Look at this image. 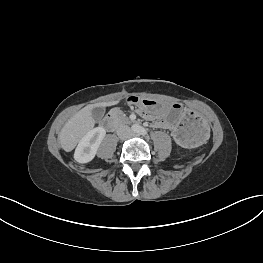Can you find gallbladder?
I'll use <instances>...</instances> for the list:
<instances>
[{
	"label": "gallbladder",
	"mask_w": 263,
	"mask_h": 263,
	"mask_svg": "<svg viewBox=\"0 0 263 263\" xmlns=\"http://www.w3.org/2000/svg\"><path fill=\"white\" fill-rule=\"evenodd\" d=\"M105 114V110L102 107H95L92 110V116L96 122H99Z\"/></svg>",
	"instance_id": "1"
}]
</instances>
